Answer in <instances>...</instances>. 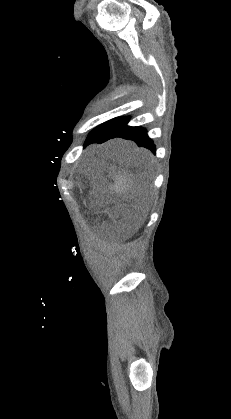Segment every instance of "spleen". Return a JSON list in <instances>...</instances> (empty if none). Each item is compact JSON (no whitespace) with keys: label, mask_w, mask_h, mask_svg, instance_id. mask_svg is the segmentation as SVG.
Segmentation results:
<instances>
[{"label":"spleen","mask_w":231,"mask_h":419,"mask_svg":"<svg viewBox=\"0 0 231 419\" xmlns=\"http://www.w3.org/2000/svg\"><path fill=\"white\" fill-rule=\"evenodd\" d=\"M133 186L134 182L130 175L120 174L116 176L115 184L111 187V189L119 193H126L128 190H132Z\"/></svg>","instance_id":"spleen-1"}]
</instances>
